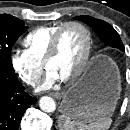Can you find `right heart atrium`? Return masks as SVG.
<instances>
[{
    "label": "right heart atrium",
    "instance_id": "d8ad5b80",
    "mask_svg": "<svg viewBox=\"0 0 130 130\" xmlns=\"http://www.w3.org/2000/svg\"><path fill=\"white\" fill-rule=\"evenodd\" d=\"M10 62L18 77L30 86L38 84L43 72L42 63L34 60L27 51L16 49L11 53Z\"/></svg>",
    "mask_w": 130,
    "mask_h": 130
}]
</instances>
